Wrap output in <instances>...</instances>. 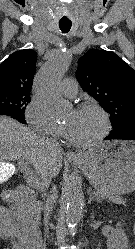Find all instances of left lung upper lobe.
<instances>
[{"label":"left lung upper lobe","mask_w":135,"mask_h":249,"mask_svg":"<svg viewBox=\"0 0 135 249\" xmlns=\"http://www.w3.org/2000/svg\"><path fill=\"white\" fill-rule=\"evenodd\" d=\"M76 77L111 115L112 131H121L135 119V70L111 51L89 50L78 61Z\"/></svg>","instance_id":"1"}]
</instances>
